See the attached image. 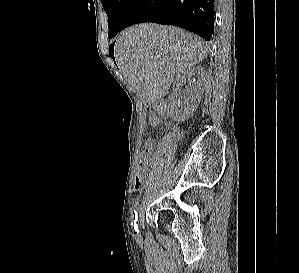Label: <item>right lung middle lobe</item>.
Instances as JSON below:
<instances>
[{
    "mask_svg": "<svg viewBox=\"0 0 299 273\" xmlns=\"http://www.w3.org/2000/svg\"><path fill=\"white\" fill-rule=\"evenodd\" d=\"M134 0H102V6L108 16V37L113 38L122 24L124 16Z\"/></svg>",
    "mask_w": 299,
    "mask_h": 273,
    "instance_id": "1",
    "label": "right lung middle lobe"
}]
</instances>
